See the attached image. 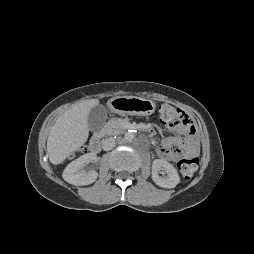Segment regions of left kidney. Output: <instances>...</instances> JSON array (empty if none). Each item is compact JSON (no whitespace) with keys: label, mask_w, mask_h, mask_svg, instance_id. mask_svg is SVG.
Masks as SVG:
<instances>
[{"label":"left kidney","mask_w":254,"mask_h":254,"mask_svg":"<svg viewBox=\"0 0 254 254\" xmlns=\"http://www.w3.org/2000/svg\"><path fill=\"white\" fill-rule=\"evenodd\" d=\"M159 173L167 174V176L161 177ZM152 179L155 184L163 188H174L180 182L175 167L169 162L161 159H155L153 161Z\"/></svg>","instance_id":"left-kidney-1"}]
</instances>
